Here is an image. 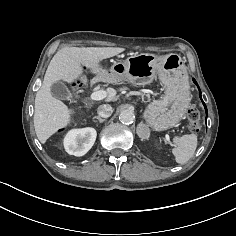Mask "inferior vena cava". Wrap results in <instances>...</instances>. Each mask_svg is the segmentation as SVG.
Here are the masks:
<instances>
[{"mask_svg":"<svg viewBox=\"0 0 236 236\" xmlns=\"http://www.w3.org/2000/svg\"><path fill=\"white\" fill-rule=\"evenodd\" d=\"M97 112H98V115L100 117L108 118V117H110L112 115L113 109H112V107L110 105L104 104V105H100L98 107Z\"/></svg>","mask_w":236,"mask_h":236,"instance_id":"obj_1","label":"inferior vena cava"}]
</instances>
